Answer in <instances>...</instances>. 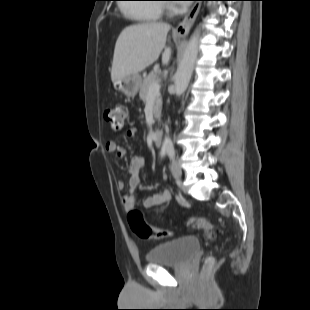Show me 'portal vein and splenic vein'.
<instances>
[{
  "mask_svg": "<svg viewBox=\"0 0 310 310\" xmlns=\"http://www.w3.org/2000/svg\"><path fill=\"white\" fill-rule=\"evenodd\" d=\"M160 84L158 82H155L152 84L149 88L148 98H154L156 95L160 93Z\"/></svg>",
  "mask_w": 310,
  "mask_h": 310,
  "instance_id": "1",
  "label": "portal vein and splenic vein"
}]
</instances>
